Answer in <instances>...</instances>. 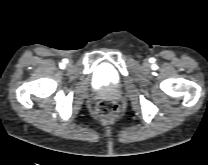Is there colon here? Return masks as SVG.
<instances>
[{
  "mask_svg": "<svg viewBox=\"0 0 208 165\" xmlns=\"http://www.w3.org/2000/svg\"><path fill=\"white\" fill-rule=\"evenodd\" d=\"M95 114L102 121L112 120L118 114V106L111 99H102L95 105Z\"/></svg>",
  "mask_w": 208,
  "mask_h": 165,
  "instance_id": "obj_1",
  "label": "colon"
}]
</instances>
